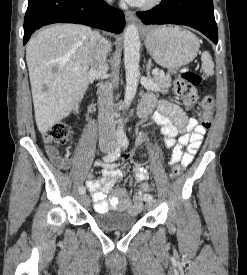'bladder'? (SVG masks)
Returning a JSON list of instances; mask_svg holds the SVG:
<instances>
[{"mask_svg":"<svg viewBox=\"0 0 247 275\" xmlns=\"http://www.w3.org/2000/svg\"><path fill=\"white\" fill-rule=\"evenodd\" d=\"M94 222L106 231H128L137 224L138 218L127 213L106 211L97 212Z\"/></svg>","mask_w":247,"mask_h":275,"instance_id":"1","label":"bladder"}]
</instances>
